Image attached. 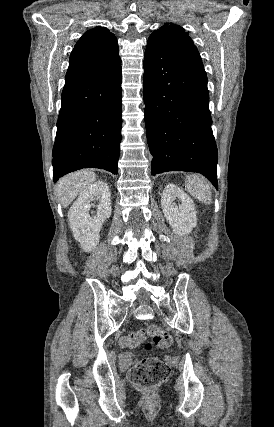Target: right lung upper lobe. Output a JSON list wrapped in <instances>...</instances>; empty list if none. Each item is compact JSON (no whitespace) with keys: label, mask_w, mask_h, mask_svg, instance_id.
<instances>
[{"label":"right lung upper lobe","mask_w":274,"mask_h":427,"mask_svg":"<svg viewBox=\"0 0 274 427\" xmlns=\"http://www.w3.org/2000/svg\"><path fill=\"white\" fill-rule=\"evenodd\" d=\"M117 39L107 28L88 30L76 43L71 55L65 84L87 79L121 62Z\"/></svg>","instance_id":"right-lung-upper-lobe-1"}]
</instances>
